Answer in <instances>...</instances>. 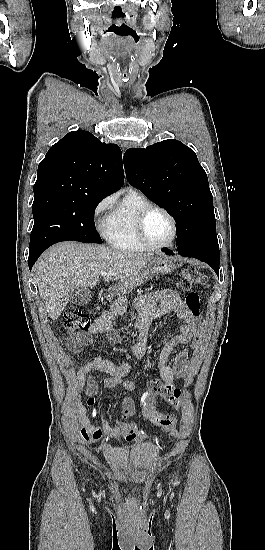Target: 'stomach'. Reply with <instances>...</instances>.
Returning <instances> with one entry per match:
<instances>
[{"mask_svg": "<svg viewBox=\"0 0 265 550\" xmlns=\"http://www.w3.org/2000/svg\"><path fill=\"white\" fill-rule=\"evenodd\" d=\"M176 265L172 258L157 254L152 255L143 269L129 281L127 289H131L153 274H167L175 270Z\"/></svg>", "mask_w": 265, "mask_h": 550, "instance_id": "0dacf381", "label": "stomach"}]
</instances>
